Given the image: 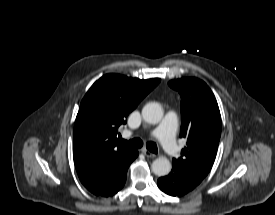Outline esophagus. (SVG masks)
Wrapping results in <instances>:
<instances>
[{
    "mask_svg": "<svg viewBox=\"0 0 275 215\" xmlns=\"http://www.w3.org/2000/svg\"><path fill=\"white\" fill-rule=\"evenodd\" d=\"M141 152H142V154H144V155H145L146 157H148V158H155V157H156V154H154V153L148 151V150L145 149V148L142 149Z\"/></svg>",
    "mask_w": 275,
    "mask_h": 215,
    "instance_id": "esophagus-1",
    "label": "esophagus"
}]
</instances>
